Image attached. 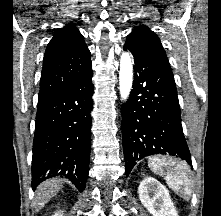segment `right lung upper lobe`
<instances>
[{
    "label": "right lung upper lobe",
    "mask_w": 221,
    "mask_h": 216,
    "mask_svg": "<svg viewBox=\"0 0 221 216\" xmlns=\"http://www.w3.org/2000/svg\"><path fill=\"white\" fill-rule=\"evenodd\" d=\"M91 71L90 52L79 30L72 24L59 28L44 55L38 102Z\"/></svg>",
    "instance_id": "obj_1"
}]
</instances>
